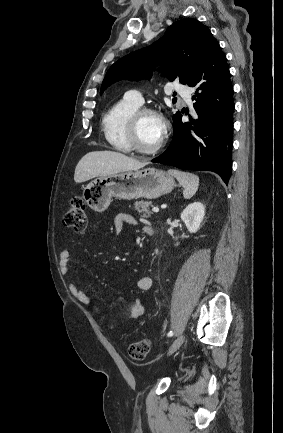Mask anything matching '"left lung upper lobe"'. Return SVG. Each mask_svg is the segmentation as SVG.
<instances>
[{"instance_id":"left-lung-upper-lobe-1","label":"left lung upper lobe","mask_w":283,"mask_h":433,"mask_svg":"<svg viewBox=\"0 0 283 433\" xmlns=\"http://www.w3.org/2000/svg\"><path fill=\"white\" fill-rule=\"evenodd\" d=\"M215 43L218 42L210 30L199 21L192 18L176 21L151 46L115 62L103 80L100 93L120 79L150 78L155 61L162 64L159 69L162 75L171 81L178 77L180 83L187 84L199 62Z\"/></svg>"}]
</instances>
